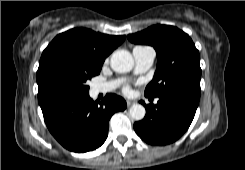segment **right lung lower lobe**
Segmentation results:
<instances>
[{
	"mask_svg": "<svg viewBox=\"0 0 245 170\" xmlns=\"http://www.w3.org/2000/svg\"><path fill=\"white\" fill-rule=\"evenodd\" d=\"M124 109L125 100L115 94H107L102 102H94L88 94L42 112L55 139L66 149L82 153L104 143L111 116Z\"/></svg>",
	"mask_w": 245,
	"mask_h": 170,
	"instance_id": "obj_1",
	"label": "right lung lower lobe"
}]
</instances>
